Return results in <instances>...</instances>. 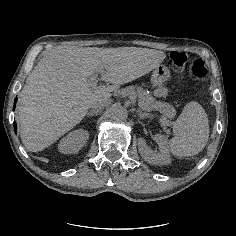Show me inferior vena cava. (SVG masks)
I'll return each instance as SVG.
<instances>
[{
  "label": "inferior vena cava",
  "instance_id": "1",
  "mask_svg": "<svg viewBox=\"0 0 236 236\" xmlns=\"http://www.w3.org/2000/svg\"><path fill=\"white\" fill-rule=\"evenodd\" d=\"M106 105H108V102L101 103L100 105L92 107V108H101V107L106 106Z\"/></svg>",
  "mask_w": 236,
  "mask_h": 236
}]
</instances>
